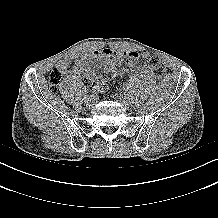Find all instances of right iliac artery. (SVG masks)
Returning a JSON list of instances; mask_svg holds the SVG:
<instances>
[{
	"instance_id": "obj_1",
	"label": "right iliac artery",
	"mask_w": 218,
	"mask_h": 218,
	"mask_svg": "<svg viewBox=\"0 0 218 218\" xmlns=\"http://www.w3.org/2000/svg\"><path fill=\"white\" fill-rule=\"evenodd\" d=\"M94 95H93V92L90 90L89 92H88V97H93Z\"/></svg>"
}]
</instances>
